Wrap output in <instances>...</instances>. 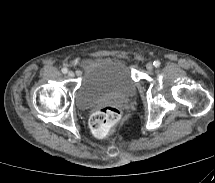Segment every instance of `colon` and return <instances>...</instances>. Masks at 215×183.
Instances as JSON below:
<instances>
[{
	"mask_svg": "<svg viewBox=\"0 0 215 183\" xmlns=\"http://www.w3.org/2000/svg\"><path fill=\"white\" fill-rule=\"evenodd\" d=\"M120 119V110L115 106H107L94 112L90 118V128L99 137L110 133Z\"/></svg>",
	"mask_w": 215,
	"mask_h": 183,
	"instance_id": "1",
	"label": "colon"
}]
</instances>
